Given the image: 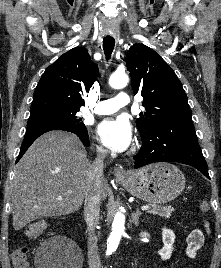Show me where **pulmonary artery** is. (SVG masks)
Here are the masks:
<instances>
[{
  "mask_svg": "<svg viewBox=\"0 0 221 268\" xmlns=\"http://www.w3.org/2000/svg\"><path fill=\"white\" fill-rule=\"evenodd\" d=\"M128 104H130L129 96L121 92L114 98L100 101L94 109V112L99 115L111 114Z\"/></svg>",
  "mask_w": 221,
  "mask_h": 268,
  "instance_id": "obj_1",
  "label": "pulmonary artery"
}]
</instances>
